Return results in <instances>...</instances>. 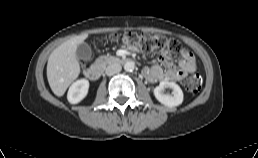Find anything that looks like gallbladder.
<instances>
[{
  "instance_id": "obj_1",
  "label": "gallbladder",
  "mask_w": 258,
  "mask_h": 158,
  "mask_svg": "<svg viewBox=\"0 0 258 158\" xmlns=\"http://www.w3.org/2000/svg\"><path fill=\"white\" fill-rule=\"evenodd\" d=\"M91 48L87 43H81L77 46L76 57L81 61H88L91 57Z\"/></svg>"
}]
</instances>
